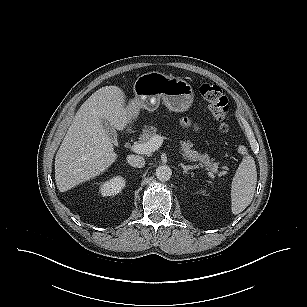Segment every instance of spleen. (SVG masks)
Segmentation results:
<instances>
[{"mask_svg": "<svg viewBox=\"0 0 307 307\" xmlns=\"http://www.w3.org/2000/svg\"><path fill=\"white\" fill-rule=\"evenodd\" d=\"M238 152L244 157L231 184V212L239 214L251 203L257 184V171L253 157L245 146H239Z\"/></svg>", "mask_w": 307, "mask_h": 307, "instance_id": "obj_1", "label": "spleen"}]
</instances>
